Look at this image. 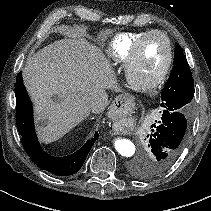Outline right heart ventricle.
I'll return each instance as SVG.
<instances>
[{
  "label": "right heart ventricle",
  "mask_w": 211,
  "mask_h": 211,
  "mask_svg": "<svg viewBox=\"0 0 211 211\" xmlns=\"http://www.w3.org/2000/svg\"><path fill=\"white\" fill-rule=\"evenodd\" d=\"M148 31L124 32L116 35L107 48L108 56L117 64L126 65L134 44Z\"/></svg>",
  "instance_id": "right-heart-ventricle-1"
}]
</instances>
